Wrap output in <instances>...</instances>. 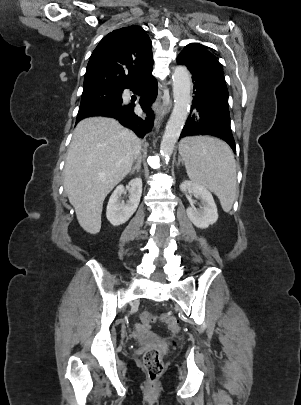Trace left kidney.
<instances>
[{
	"mask_svg": "<svg viewBox=\"0 0 301 405\" xmlns=\"http://www.w3.org/2000/svg\"><path fill=\"white\" fill-rule=\"evenodd\" d=\"M180 189L182 192H192L202 202L199 209L188 207L186 210L188 218L196 227L206 229L217 221L216 204L212 194L204 186L192 181H184Z\"/></svg>",
	"mask_w": 301,
	"mask_h": 405,
	"instance_id": "5707ae66",
	"label": "left kidney"
}]
</instances>
